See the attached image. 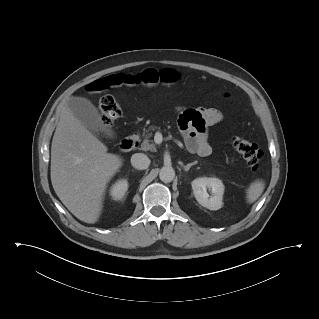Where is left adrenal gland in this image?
Here are the masks:
<instances>
[{"mask_svg":"<svg viewBox=\"0 0 319 319\" xmlns=\"http://www.w3.org/2000/svg\"><path fill=\"white\" fill-rule=\"evenodd\" d=\"M196 163L197 162L195 161V162L189 163L187 165H182V168L184 169V171H188L191 168V166L195 165Z\"/></svg>","mask_w":319,"mask_h":319,"instance_id":"a2214340","label":"left adrenal gland"}]
</instances>
